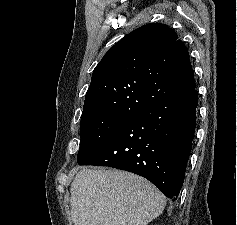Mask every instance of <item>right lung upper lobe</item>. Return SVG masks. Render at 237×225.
Listing matches in <instances>:
<instances>
[{"instance_id":"cb5924a9","label":"right lung upper lobe","mask_w":237,"mask_h":225,"mask_svg":"<svg viewBox=\"0 0 237 225\" xmlns=\"http://www.w3.org/2000/svg\"><path fill=\"white\" fill-rule=\"evenodd\" d=\"M195 85L188 50L176 32L165 24H146L116 43L96 66L81 119L133 117Z\"/></svg>"}]
</instances>
